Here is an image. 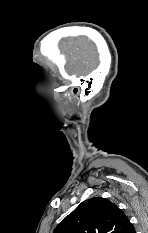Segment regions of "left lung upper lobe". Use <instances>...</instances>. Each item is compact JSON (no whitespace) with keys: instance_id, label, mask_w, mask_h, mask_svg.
<instances>
[{"instance_id":"obj_1","label":"left lung upper lobe","mask_w":148,"mask_h":233,"mask_svg":"<svg viewBox=\"0 0 148 233\" xmlns=\"http://www.w3.org/2000/svg\"><path fill=\"white\" fill-rule=\"evenodd\" d=\"M132 228L128 217L114 203L94 197L80 203L54 233H129Z\"/></svg>"}]
</instances>
